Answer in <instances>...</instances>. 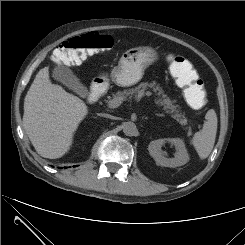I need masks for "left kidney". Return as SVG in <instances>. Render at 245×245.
Wrapping results in <instances>:
<instances>
[{
    "label": "left kidney",
    "instance_id": "obj_1",
    "mask_svg": "<svg viewBox=\"0 0 245 245\" xmlns=\"http://www.w3.org/2000/svg\"><path fill=\"white\" fill-rule=\"evenodd\" d=\"M165 143H170L175 146L176 154L174 158H166L161 150ZM148 151L153 157L157 165L164 167H178L186 164L189 161V155L185 148V144L180 138L172 139H157L151 141L148 145Z\"/></svg>",
    "mask_w": 245,
    "mask_h": 245
}]
</instances>
